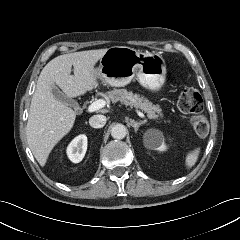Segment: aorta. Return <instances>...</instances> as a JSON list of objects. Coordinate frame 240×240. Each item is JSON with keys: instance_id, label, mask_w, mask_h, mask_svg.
<instances>
[{"instance_id": "762f6f07", "label": "aorta", "mask_w": 240, "mask_h": 240, "mask_svg": "<svg viewBox=\"0 0 240 240\" xmlns=\"http://www.w3.org/2000/svg\"><path fill=\"white\" fill-rule=\"evenodd\" d=\"M127 134V129L123 124H115L113 125V127L111 128V136L114 139H123L125 138Z\"/></svg>"}]
</instances>
